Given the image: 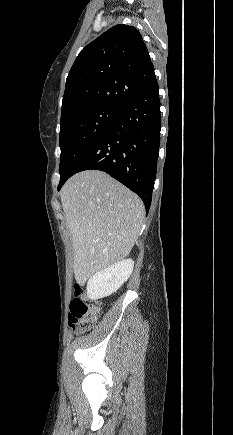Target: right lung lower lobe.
<instances>
[{
	"label": "right lung lower lobe",
	"instance_id": "98d812e1",
	"mask_svg": "<svg viewBox=\"0 0 233 435\" xmlns=\"http://www.w3.org/2000/svg\"><path fill=\"white\" fill-rule=\"evenodd\" d=\"M160 129L159 86L155 77L120 109L97 141L60 180L58 190L77 172L101 170L137 193L148 213L156 178Z\"/></svg>",
	"mask_w": 233,
	"mask_h": 435
}]
</instances>
